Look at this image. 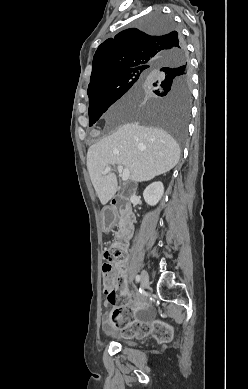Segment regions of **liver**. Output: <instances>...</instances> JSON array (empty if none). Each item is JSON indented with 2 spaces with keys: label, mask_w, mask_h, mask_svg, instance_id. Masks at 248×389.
<instances>
[{
  "label": "liver",
  "mask_w": 248,
  "mask_h": 389,
  "mask_svg": "<svg viewBox=\"0 0 248 389\" xmlns=\"http://www.w3.org/2000/svg\"><path fill=\"white\" fill-rule=\"evenodd\" d=\"M136 94V90L129 92L123 103L138 104ZM179 159V146L170 134L131 122L89 147L87 169L96 194L105 205L117 190L115 173L102 174L106 167L121 165L130 171L131 181L144 182L170 171Z\"/></svg>",
  "instance_id": "liver-1"
}]
</instances>
